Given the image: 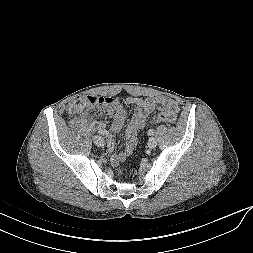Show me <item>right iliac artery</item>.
<instances>
[{
  "label": "right iliac artery",
  "instance_id": "1",
  "mask_svg": "<svg viewBox=\"0 0 253 253\" xmlns=\"http://www.w3.org/2000/svg\"><path fill=\"white\" fill-rule=\"evenodd\" d=\"M98 133L101 135H107L109 132L105 129H99Z\"/></svg>",
  "mask_w": 253,
  "mask_h": 253
}]
</instances>
